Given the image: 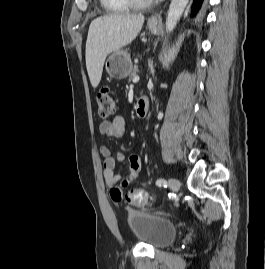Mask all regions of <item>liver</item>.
Instances as JSON below:
<instances>
[{
	"label": "liver",
	"instance_id": "6515ba94",
	"mask_svg": "<svg viewBox=\"0 0 265 269\" xmlns=\"http://www.w3.org/2000/svg\"><path fill=\"white\" fill-rule=\"evenodd\" d=\"M142 14H111L94 19L86 41V68L93 88L101 80L106 57L129 45L144 24Z\"/></svg>",
	"mask_w": 265,
	"mask_h": 269
}]
</instances>
